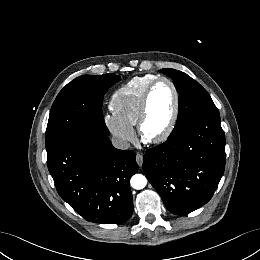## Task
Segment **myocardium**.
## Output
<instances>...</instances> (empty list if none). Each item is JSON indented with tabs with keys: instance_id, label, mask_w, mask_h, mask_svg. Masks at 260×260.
Listing matches in <instances>:
<instances>
[{
	"instance_id": "f54148a6",
	"label": "myocardium",
	"mask_w": 260,
	"mask_h": 260,
	"mask_svg": "<svg viewBox=\"0 0 260 260\" xmlns=\"http://www.w3.org/2000/svg\"><path fill=\"white\" fill-rule=\"evenodd\" d=\"M161 82L168 83L173 91L174 109H173L171 119H170L169 124L166 127V129L160 135H157L154 137H148L145 135L143 127H144V123H145V120H146V117L148 114L151 95H152L155 87ZM179 114H180V93L178 91L177 86L171 79H169L167 77H157L146 90V92L142 98V102H141V106H140V110H139V115H138L136 125H137V130H138V133H139L142 141L145 143H148V144H159V143L166 141L172 135V133L177 125V122L179 119Z\"/></svg>"
}]
</instances>
